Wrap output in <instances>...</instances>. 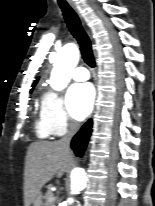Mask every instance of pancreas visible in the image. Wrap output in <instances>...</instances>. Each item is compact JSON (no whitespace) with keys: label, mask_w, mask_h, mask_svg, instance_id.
Instances as JSON below:
<instances>
[{"label":"pancreas","mask_w":155,"mask_h":206,"mask_svg":"<svg viewBox=\"0 0 155 206\" xmlns=\"http://www.w3.org/2000/svg\"><path fill=\"white\" fill-rule=\"evenodd\" d=\"M50 185L47 187L46 193L44 195V200H45V206H55V202H54V195L52 193V191L50 190Z\"/></svg>","instance_id":"pancreas-1"}]
</instances>
